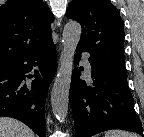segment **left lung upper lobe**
Wrapping results in <instances>:
<instances>
[{"label":"left lung upper lobe","mask_w":144,"mask_h":137,"mask_svg":"<svg viewBox=\"0 0 144 137\" xmlns=\"http://www.w3.org/2000/svg\"><path fill=\"white\" fill-rule=\"evenodd\" d=\"M67 17L82 26L79 47L90 56L124 69V26L109 0H73Z\"/></svg>","instance_id":"5c2ea615"}]
</instances>
